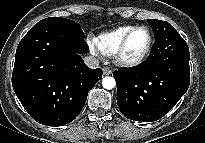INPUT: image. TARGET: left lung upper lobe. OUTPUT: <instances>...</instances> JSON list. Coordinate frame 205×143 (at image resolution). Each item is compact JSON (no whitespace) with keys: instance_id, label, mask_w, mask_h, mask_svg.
<instances>
[{"instance_id":"5c2ea615","label":"left lung upper lobe","mask_w":205,"mask_h":143,"mask_svg":"<svg viewBox=\"0 0 205 143\" xmlns=\"http://www.w3.org/2000/svg\"><path fill=\"white\" fill-rule=\"evenodd\" d=\"M148 22L149 25L152 27L155 39L167 35L170 32L176 31V29L166 21L149 19Z\"/></svg>"}]
</instances>
